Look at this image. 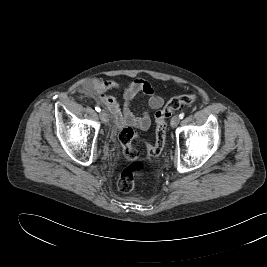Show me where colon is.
Masks as SVG:
<instances>
[{"mask_svg":"<svg viewBox=\"0 0 267 267\" xmlns=\"http://www.w3.org/2000/svg\"><path fill=\"white\" fill-rule=\"evenodd\" d=\"M196 100L197 96L195 94L176 96L155 114V141L153 144H146L147 153L150 156L156 157L162 152L166 140L167 120L173 112L193 104ZM137 138L138 132L131 126L124 127L118 136L123 155L127 160V164L122 168L117 181L118 189L123 193L131 192L136 183L147 175V166L140 159L138 151L132 145Z\"/></svg>","mask_w":267,"mask_h":267,"instance_id":"1","label":"colon"}]
</instances>
